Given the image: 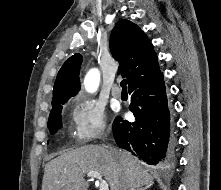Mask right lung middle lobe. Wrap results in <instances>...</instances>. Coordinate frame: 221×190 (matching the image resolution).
Masks as SVG:
<instances>
[{"mask_svg":"<svg viewBox=\"0 0 221 190\" xmlns=\"http://www.w3.org/2000/svg\"><path fill=\"white\" fill-rule=\"evenodd\" d=\"M67 100L57 101L52 104V110L50 112L48 120V128L52 134L56 133L58 129L62 127L61 111L62 104H65Z\"/></svg>","mask_w":221,"mask_h":190,"instance_id":"1","label":"right lung middle lobe"}]
</instances>
